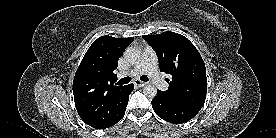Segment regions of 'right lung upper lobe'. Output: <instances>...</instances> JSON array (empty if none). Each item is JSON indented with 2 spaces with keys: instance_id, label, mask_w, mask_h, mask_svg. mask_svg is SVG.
<instances>
[{
  "instance_id": "1",
  "label": "right lung upper lobe",
  "mask_w": 276,
  "mask_h": 138,
  "mask_svg": "<svg viewBox=\"0 0 276 138\" xmlns=\"http://www.w3.org/2000/svg\"><path fill=\"white\" fill-rule=\"evenodd\" d=\"M133 37L96 39L84 55L74 77L75 106L88 125L104 129L119 120L128 101V85L114 84L118 59Z\"/></svg>"
}]
</instances>
